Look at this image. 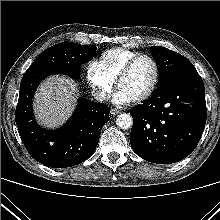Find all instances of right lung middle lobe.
I'll use <instances>...</instances> for the list:
<instances>
[{
  "label": "right lung middle lobe",
  "instance_id": "right-lung-middle-lobe-1",
  "mask_svg": "<svg viewBox=\"0 0 220 220\" xmlns=\"http://www.w3.org/2000/svg\"><path fill=\"white\" fill-rule=\"evenodd\" d=\"M97 47L84 46L73 42H62L44 50L31 64L28 70L35 69H80L83 63L90 61Z\"/></svg>",
  "mask_w": 220,
  "mask_h": 220
}]
</instances>
